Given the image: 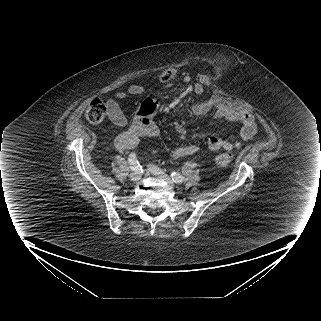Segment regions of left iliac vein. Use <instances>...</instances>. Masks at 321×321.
Instances as JSON below:
<instances>
[{
  "instance_id": "left-iliac-vein-1",
  "label": "left iliac vein",
  "mask_w": 321,
  "mask_h": 321,
  "mask_svg": "<svg viewBox=\"0 0 321 321\" xmlns=\"http://www.w3.org/2000/svg\"><path fill=\"white\" fill-rule=\"evenodd\" d=\"M149 169L155 176H157L160 179L164 180L171 187L175 186L173 180L163 170L159 169L155 165H149Z\"/></svg>"
}]
</instances>
